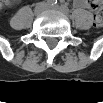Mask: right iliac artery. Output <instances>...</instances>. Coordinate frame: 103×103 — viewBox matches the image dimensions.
<instances>
[{
	"label": "right iliac artery",
	"instance_id": "right-iliac-artery-1",
	"mask_svg": "<svg viewBox=\"0 0 103 103\" xmlns=\"http://www.w3.org/2000/svg\"><path fill=\"white\" fill-rule=\"evenodd\" d=\"M57 3V0H48L47 1V4L50 5V6H53Z\"/></svg>",
	"mask_w": 103,
	"mask_h": 103
}]
</instances>
